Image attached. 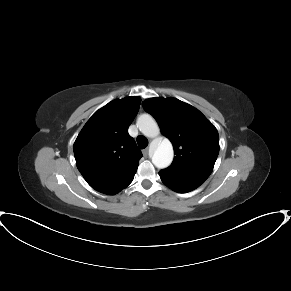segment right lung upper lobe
<instances>
[{
    "instance_id": "right-lung-upper-lobe-1",
    "label": "right lung upper lobe",
    "mask_w": 291,
    "mask_h": 291,
    "mask_svg": "<svg viewBox=\"0 0 291 291\" xmlns=\"http://www.w3.org/2000/svg\"><path fill=\"white\" fill-rule=\"evenodd\" d=\"M140 103V97L111 101L94 113L74 143L78 170L101 193L114 195L134 178L142 153L128 127Z\"/></svg>"
}]
</instances>
